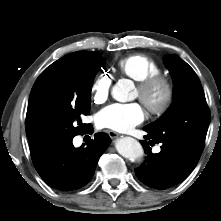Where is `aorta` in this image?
I'll use <instances>...</instances> for the list:
<instances>
[{
	"label": "aorta",
	"instance_id": "obj_1",
	"mask_svg": "<svg viewBox=\"0 0 221 221\" xmlns=\"http://www.w3.org/2000/svg\"><path fill=\"white\" fill-rule=\"evenodd\" d=\"M134 85L130 80H120L112 89V96L119 102L129 100ZM115 147L119 154L130 160H140L144 156L141 144L134 138L123 137L116 141Z\"/></svg>",
	"mask_w": 221,
	"mask_h": 221
}]
</instances>
